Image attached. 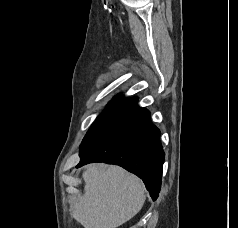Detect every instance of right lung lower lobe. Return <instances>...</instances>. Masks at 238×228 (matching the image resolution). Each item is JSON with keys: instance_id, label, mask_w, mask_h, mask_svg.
<instances>
[{"instance_id": "obj_1", "label": "right lung lower lobe", "mask_w": 238, "mask_h": 228, "mask_svg": "<svg viewBox=\"0 0 238 228\" xmlns=\"http://www.w3.org/2000/svg\"><path fill=\"white\" fill-rule=\"evenodd\" d=\"M150 112L137 108L111 122L80 148L81 167L91 162L122 166L140 177L153 200L160 192L164 151Z\"/></svg>"}]
</instances>
